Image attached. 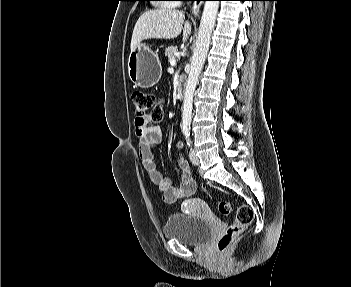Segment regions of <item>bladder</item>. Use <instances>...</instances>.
Segmentation results:
<instances>
[{
	"mask_svg": "<svg viewBox=\"0 0 351 287\" xmlns=\"http://www.w3.org/2000/svg\"><path fill=\"white\" fill-rule=\"evenodd\" d=\"M212 225L203 217H192L183 213L172 214L166 220L163 234L166 239L197 246L210 238Z\"/></svg>",
	"mask_w": 351,
	"mask_h": 287,
	"instance_id": "obj_1",
	"label": "bladder"
}]
</instances>
